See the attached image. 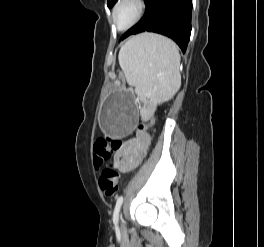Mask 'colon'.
I'll return each mask as SVG.
<instances>
[{
    "instance_id": "1",
    "label": "colon",
    "mask_w": 264,
    "mask_h": 247,
    "mask_svg": "<svg viewBox=\"0 0 264 247\" xmlns=\"http://www.w3.org/2000/svg\"><path fill=\"white\" fill-rule=\"evenodd\" d=\"M139 129H144V126H140ZM121 146L122 142L117 139L109 137L98 139L93 146L95 165L99 167L110 161L113 152L120 149ZM98 183L105 196L111 197L117 193L119 189V173L115 169L114 164H110L101 171Z\"/></svg>"
}]
</instances>
